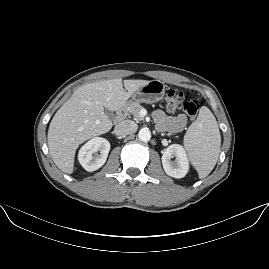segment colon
I'll return each instance as SVG.
<instances>
[{
    "label": "colon",
    "instance_id": "obj_1",
    "mask_svg": "<svg viewBox=\"0 0 269 269\" xmlns=\"http://www.w3.org/2000/svg\"><path fill=\"white\" fill-rule=\"evenodd\" d=\"M201 104L198 99L185 100L183 92L171 89L166 94V108L170 112L184 110L190 119H196L200 110Z\"/></svg>",
    "mask_w": 269,
    "mask_h": 269
}]
</instances>
